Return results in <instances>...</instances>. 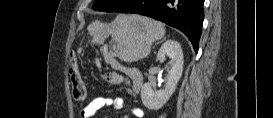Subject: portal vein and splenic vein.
<instances>
[{"mask_svg": "<svg viewBox=\"0 0 273 118\" xmlns=\"http://www.w3.org/2000/svg\"><path fill=\"white\" fill-rule=\"evenodd\" d=\"M117 48L120 50L122 47L117 43Z\"/></svg>", "mask_w": 273, "mask_h": 118, "instance_id": "obj_1", "label": "portal vein and splenic vein"}]
</instances>
